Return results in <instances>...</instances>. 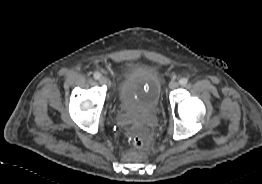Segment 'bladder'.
<instances>
[{
	"mask_svg": "<svg viewBox=\"0 0 262 184\" xmlns=\"http://www.w3.org/2000/svg\"><path fill=\"white\" fill-rule=\"evenodd\" d=\"M162 93L160 74L150 66H137L128 70L121 81L118 100L121 111L136 117L144 110L153 112Z\"/></svg>",
	"mask_w": 262,
	"mask_h": 184,
	"instance_id": "bladder-1",
	"label": "bladder"
}]
</instances>
